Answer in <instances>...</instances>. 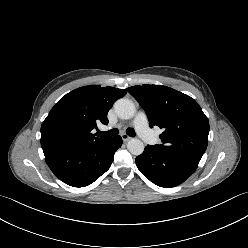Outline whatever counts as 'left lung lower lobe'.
Segmentation results:
<instances>
[{
	"label": "left lung lower lobe",
	"mask_w": 248,
	"mask_h": 248,
	"mask_svg": "<svg viewBox=\"0 0 248 248\" xmlns=\"http://www.w3.org/2000/svg\"><path fill=\"white\" fill-rule=\"evenodd\" d=\"M199 162L169 155L146 146L136 158L140 172L160 187H175L183 183L196 170Z\"/></svg>",
	"instance_id": "0a47b994"
}]
</instances>
